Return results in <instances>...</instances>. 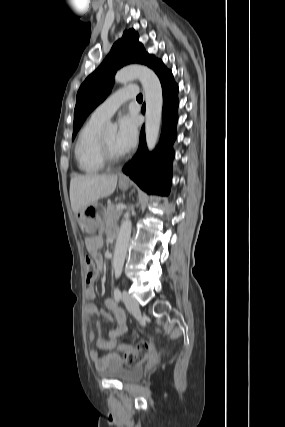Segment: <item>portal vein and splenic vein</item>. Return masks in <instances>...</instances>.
Masks as SVG:
<instances>
[{
  "label": "portal vein and splenic vein",
  "instance_id": "1",
  "mask_svg": "<svg viewBox=\"0 0 285 427\" xmlns=\"http://www.w3.org/2000/svg\"><path fill=\"white\" fill-rule=\"evenodd\" d=\"M116 208H117L118 210H123V209H125V208H126V206H125L124 204H117V205H116Z\"/></svg>",
  "mask_w": 285,
  "mask_h": 427
}]
</instances>
